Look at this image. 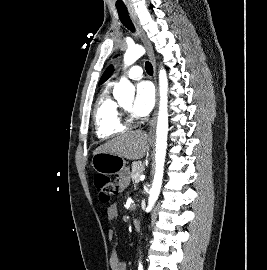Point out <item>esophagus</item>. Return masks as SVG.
Returning <instances> with one entry per match:
<instances>
[{
  "label": "esophagus",
  "mask_w": 267,
  "mask_h": 270,
  "mask_svg": "<svg viewBox=\"0 0 267 270\" xmlns=\"http://www.w3.org/2000/svg\"><path fill=\"white\" fill-rule=\"evenodd\" d=\"M129 13H130L132 21L136 27L137 33H138L139 37L141 38V40H142V42L147 50V53H148V56L151 60V63L153 66V71H154V82L156 85V101H157V103H156V108H155L153 117L150 120V126H149V132H148V136L150 138H153L155 135V126H156V121H157V107H158V86H157L156 61H155V56H154L152 44L149 41L148 37L146 36L143 28L141 27L134 10L132 8H129Z\"/></svg>",
  "instance_id": "obj_1"
}]
</instances>
